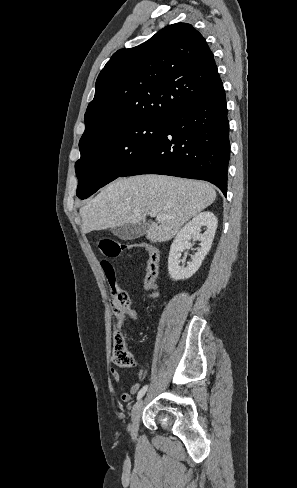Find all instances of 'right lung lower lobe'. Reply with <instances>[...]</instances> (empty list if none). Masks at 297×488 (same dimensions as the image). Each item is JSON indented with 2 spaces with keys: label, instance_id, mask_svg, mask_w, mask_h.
Instances as JSON below:
<instances>
[{
  "label": "right lung lower lobe",
  "instance_id": "98d812e1",
  "mask_svg": "<svg viewBox=\"0 0 297 488\" xmlns=\"http://www.w3.org/2000/svg\"><path fill=\"white\" fill-rule=\"evenodd\" d=\"M229 156L227 103L221 84L169 118L158 139L120 177L162 174L206 180L226 196Z\"/></svg>",
  "mask_w": 297,
  "mask_h": 488
}]
</instances>
